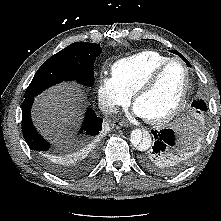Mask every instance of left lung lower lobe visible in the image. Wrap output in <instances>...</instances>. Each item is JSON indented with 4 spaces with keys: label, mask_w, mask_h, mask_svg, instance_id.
<instances>
[{
    "label": "left lung lower lobe",
    "mask_w": 221,
    "mask_h": 221,
    "mask_svg": "<svg viewBox=\"0 0 221 221\" xmlns=\"http://www.w3.org/2000/svg\"><path fill=\"white\" fill-rule=\"evenodd\" d=\"M154 146L141 158V164L149 171L160 175H171L184 167L172 129L152 130Z\"/></svg>",
    "instance_id": "1"
}]
</instances>
